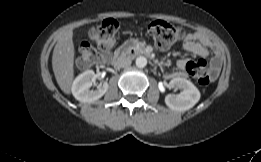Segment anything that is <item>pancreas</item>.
Returning <instances> with one entry per match:
<instances>
[{"label":"pancreas","mask_w":261,"mask_h":162,"mask_svg":"<svg viewBox=\"0 0 261 162\" xmlns=\"http://www.w3.org/2000/svg\"><path fill=\"white\" fill-rule=\"evenodd\" d=\"M138 44L137 43H134L133 47L135 48Z\"/></svg>","instance_id":"cf45deb5"}]
</instances>
